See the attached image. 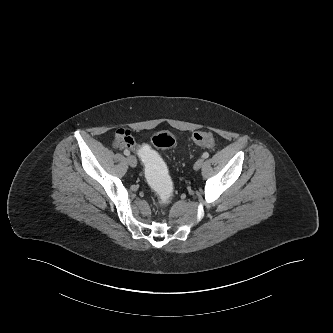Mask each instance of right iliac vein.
<instances>
[{
	"instance_id": "right-iliac-vein-1",
	"label": "right iliac vein",
	"mask_w": 333,
	"mask_h": 333,
	"mask_svg": "<svg viewBox=\"0 0 333 333\" xmlns=\"http://www.w3.org/2000/svg\"><path fill=\"white\" fill-rule=\"evenodd\" d=\"M127 162H128V164H129L131 167H133V168L137 166V159H136V157L133 156V155L128 156V158H127Z\"/></svg>"
}]
</instances>
